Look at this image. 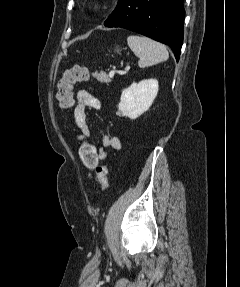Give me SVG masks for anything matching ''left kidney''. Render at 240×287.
<instances>
[{"mask_svg": "<svg viewBox=\"0 0 240 287\" xmlns=\"http://www.w3.org/2000/svg\"><path fill=\"white\" fill-rule=\"evenodd\" d=\"M158 90L159 85L156 79L133 83L121 94L118 114L130 119L138 118L151 107Z\"/></svg>", "mask_w": 240, "mask_h": 287, "instance_id": "5707ae66", "label": "left kidney"}]
</instances>
